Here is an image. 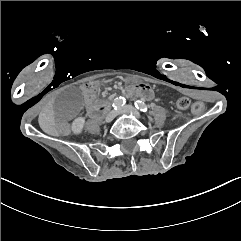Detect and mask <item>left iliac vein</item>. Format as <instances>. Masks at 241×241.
<instances>
[{"label":"left iliac vein","instance_id":"1","mask_svg":"<svg viewBox=\"0 0 241 241\" xmlns=\"http://www.w3.org/2000/svg\"><path fill=\"white\" fill-rule=\"evenodd\" d=\"M134 112H136L135 108L131 105H127L124 108H122L121 110H119L118 115L127 114V113H134ZM136 117L138 119L141 118V116L138 113H136Z\"/></svg>","mask_w":241,"mask_h":241}]
</instances>
